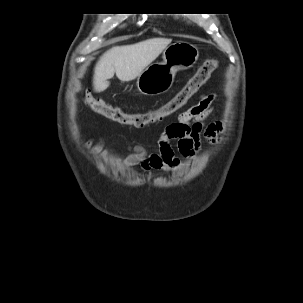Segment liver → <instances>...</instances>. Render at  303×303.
I'll return each instance as SVG.
<instances>
[{
	"label": "liver",
	"instance_id": "1",
	"mask_svg": "<svg viewBox=\"0 0 303 303\" xmlns=\"http://www.w3.org/2000/svg\"><path fill=\"white\" fill-rule=\"evenodd\" d=\"M171 39L152 38L136 44L116 46L102 55L94 69L93 86L96 92L106 90L114 74L128 82L138 77L171 43Z\"/></svg>",
	"mask_w": 303,
	"mask_h": 303
}]
</instances>
